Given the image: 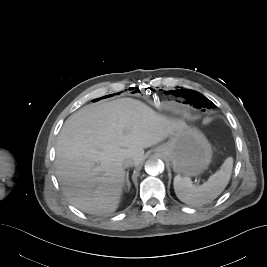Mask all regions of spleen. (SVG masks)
<instances>
[{
    "label": "spleen",
    "instance_id": "3e777b00",
    "mask_svg": "<svg viewBox=\"0 0 267 267\" xmlns=\"http://www.w3.org/2000/svg\"><path fill=\"white\" fill-rule=\"evenodd\" d=\"M233 168V158L228 157L209 179L200 186H195L188 177L180 175L174 178V190L178 199L186 204L202 206L216 199L229 183Z\"/></svg>",
    "mask_w": 267,
    "mask_h": 267
}]
</instances>
